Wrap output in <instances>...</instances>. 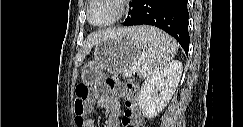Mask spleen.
I'll list each match as a JSON object with an SVG mask.
<instances>
[{"label": "spleen", "instance_id": "obj_1", "mask_svg": "<svg viewBox=\"0 0 243 127\" xmlns=\"http://www.w3.org/2000/svg\"><path fill=\"white\" fill-rule=\"evenodd\" d=\"M142 50L140 60L135 63L138 75L149 77L166 66L177 52V43L158 28L142 26L131 34Z\"/></svg>", "mask_w": 243, "mask_h": 127}]
</instances>
